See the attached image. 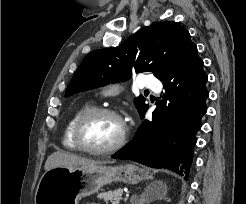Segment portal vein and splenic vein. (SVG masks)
<instances>
[{"label":"portal vein and splenic vein","mask_w":246,"mask_h":204,"mask_svg":"<svg viewBox=\"0 0 246 204\" xmlns=\"http://www.w3.org/2000/svg\"><path fill=\"white\" fill-rule=\"evenodd\" d=\"M119 203H120V200L116 199L112 204H119Z\"/></svg>","instance_id":"obj_1"}]
</instances>
